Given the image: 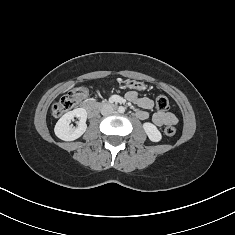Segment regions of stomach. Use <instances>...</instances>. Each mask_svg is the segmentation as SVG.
I'll list each match as a JSON object with an SVG mask.
<instances>
[{"instance_id":"0dacf381","label":"stomach","mask_w":235,"mask_h":235,"mask_svg":"<svg viewBox=\"0 0 235 235\" xmlns=\"http://www.w3.org/2000/svg\"><path fill=\"white\" fill-rule=\"evenodd\" d=\"M125 86L131 89H136V90L146 89V85L143 82L130 80V79L125 81Z\"/></svg>"}]
</instances>
